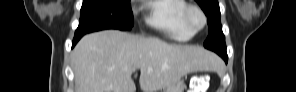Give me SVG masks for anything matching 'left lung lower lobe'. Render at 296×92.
<instances>
[{"label":"left lung lower lobe","instance_id":"left-lung-lower-lobe-1","mask_svg":"<svg viewBox=\"0 0 296 92\" xmlns=\"http://www.w3.org/2000/svg\"><path fill=\"white\" fill-rule=\"evenodd\" d=\"M218 54L227 62V59H228L227 53H225V52H219Z\"/></svg>","mask_w":296,"mask_h":92}]
</instances>
